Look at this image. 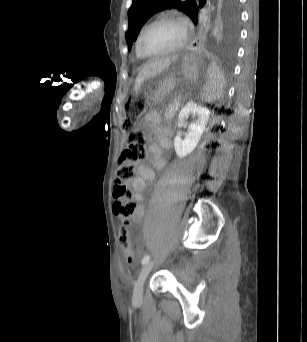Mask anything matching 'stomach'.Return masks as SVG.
I'll return each instance as SVG.
<instances>
[{"label": "stomach", "instance_id": "0dacf381", "mask_svg": "<svg viewBox=\"0 0 307 342\" xmlns=\"http://www.w3.org/2000/svg\"><path fill=\"white\" fill-rule=\"evenodd\" d=\"M192 62L189 55L174 58L169 67L145 80L139 90L149 102L180 99L193 76Z\"/></svg>", "mask_w": 307, "mask_h": 342}]
</instances>
